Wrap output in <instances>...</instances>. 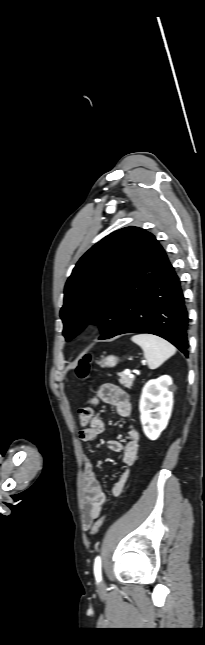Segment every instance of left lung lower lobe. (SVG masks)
<instances>
[{"label": "left lung lower lobe", "instance_id": "obj_1", "mask_svg": "<svg viewBox=\"0 0 205 645\" xmlns=\"http://www.w3.org/2000/svg\"><path fill=\"white\" fill-rule=\"evenodd\" d=\"M188 312L180 281L151 233L145 236L124 287L116 330L160 336L188 356Z\"/></svg>", "mask_w": 205, "mask_h": 645}]
</instances>
